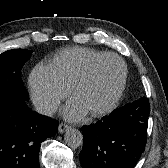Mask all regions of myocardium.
<instances>
[{
  "label": "myocardium",
  "mask_w": 168,
  "mask_h": 168,
  "mask_svg": "<svg viewBox=\"0 0 168 168\" xmlns=\"http://www.w3.org/2000/svg\"><path fill=\"white\" fill-rule=\"evenodd\" d=\"M109 59H114L119 62L120 67H121V78L119 81V84L111 97V99L101 108L96 109L91 111V115L93 117H99L108 114L111 112L115 106L118 104L120 101L123 92L126 87V82H127V76H128V71H127V66L123 59L119 57L116 54L112 53H105L102 56L96 58L93 60L88 67L85 69V71L79 76V78L75 81V83L72 86V94L75 96L78 90L85 85L87 82L90 81V79L93 77L94 72L96 68L104 61L109 60Z\"/></svg>",
  "instance_id": "1"
}]
</instances>
